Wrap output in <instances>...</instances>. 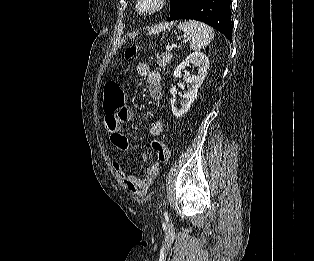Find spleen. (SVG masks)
I'll list each match as a JSON object with an SVG mask.
<instances>
[{
	"label": "spleen",
	"instance_id": "3e777b00",
	"mask_svg": "<svg viewBox=\"0 0 314 261\" xmlns=\"http://www.w3.org/2000/svg\"><path fill=\"white\" fill-rule=\"evenodd\" d=\"M177 27L190 40V47L194 51L205 48L214 38L213 29L209 25L199 21L190 20L179 23Z\"/></svg>",
	"mask_w": 314,
	"mask_h": 261
}]
</instances>
